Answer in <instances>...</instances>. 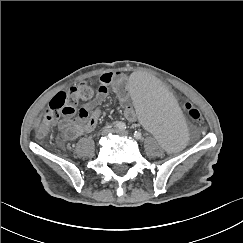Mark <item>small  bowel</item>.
<instances>
[{"label": "small bowel", "instance_id": "small-bowel-1", "mask_svg": "<svg viewBox=\"0 0 243 243\" xmlns=\"http://www.w3.org/2000/svg\"><path fill=\"white\" fill-rule=\"evenodd\" d=\"M127 77L123 73H105L100 76L99 86L95 97L87 101L78 111L75 118L74 113L64 114L58 126L65 140H74L77 137L91 132L100 116L98 106L105 100L109 88L112 87L123 106L124 115L129 120H136L133 107L127 104L129 96L126 93L125 84Z\"/></svg>", "mask_w": 243, "mask_h": 243}]
</instances>
